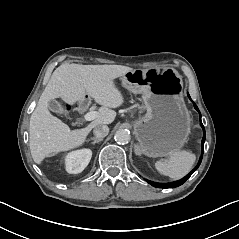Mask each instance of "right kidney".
I'll list each match as a JSON object with an SVG mask.
<instances>
[{
	"label": "right kidney",
	"mask_w": 239,
	"mask_h": 239,
	"mask_svg": "<svg viewBox=\"0 0 239 239\" xmlns=\"http://www.w3.org/2000/svg\"><path fill=\"white\" fill-rule=\"evenodd\" d=\"M91 159V151L88 149L70 153L67 156V171L69 173H80L88 165Z\"/></svg>",
	"instance_id": "1"
}]
</instances>
